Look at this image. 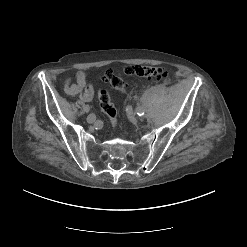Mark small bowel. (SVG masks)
Instances as JSON below:
<instances>
[{
    "mask_svg": "<svg viewBox=\"0 0 247 247\" xmlns=\"http://www.w3.org/2000/svg\"><path fill=\"white\" fill-rule=\"evenodd\" d=\"M65 92L69 95H78L83 101H90L93 98L94 90L91 84L87 82V74L84 71H79L76 74L75 83H71L67 79L64 84Z\"/></svg>",
    "mask_w": 247,
    "mask_h": 247,
    "instance_id": "1",
    "label": "small bowel"
}]
</instances>
